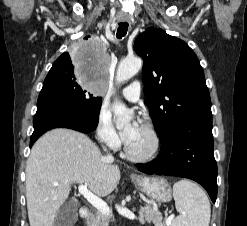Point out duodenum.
Wrapping results in <instances>:
<instances>
[{
  "label": "duodenum",
  "mask_w": 247,
  "mask_h": 226,
  "mask_svg": "<svg viewBox=\"0 0 247 226\" xmlns=\"http://www.w3.org/2000/svg\"><path fill=\"white\" fill-rule=\"evenodd\" d=\"M89 216H90V210L87 207H82L80 209V217L83 220H86V219H88Z\"/></svg>",
  "instance_id": "1"
}]
</instances>
